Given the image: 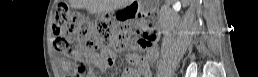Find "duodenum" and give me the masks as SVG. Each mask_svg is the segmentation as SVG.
Listing matches in <instances>:
<instances>
[{
	"label": "duodenum",
	"mask_w": 258,
	"mask_h": 77,
	"mask_svg": "<svg viewBox=\"0 0 258 77\" xmlns=\"http://www.w3.org/2000/svg\"><path fill=\"white\" fill-rule=\"evenodd\" d=\"M124 12L127 14H130V13H132V14H134V15H137L138 14V12H139V8L137 7V6H134V5H132V6H130L128 9H126V10H124ZM153 32H154V30H153Z\"/></svg>",
	"instance_id": "410a0bca"
}]
</instances>
